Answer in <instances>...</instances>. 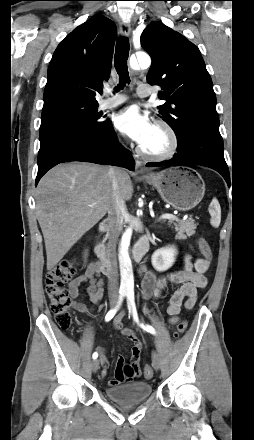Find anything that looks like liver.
<instances>
[{
	"mask_svg": "<svg viewBox=\"0 0 254 440\" xmlns=\"http://www.w3.org/2000/svg\"><path fill=\"white\" fill-rule=\"evenodd\" d=\"M120 169V168H119ZM106 166L90 163L57 165L36 189V215L53 269L72 246L109 210L113 191ZM119 192L124 201L133 195L129 174L120 169ZM96 204L94 207L89 205Z\"/></svg>",
	"mask_w": 254,
	"mask_h": 440,
	"instance_id": "6515ba94",
	"label": "liver"
}]
</instances>
